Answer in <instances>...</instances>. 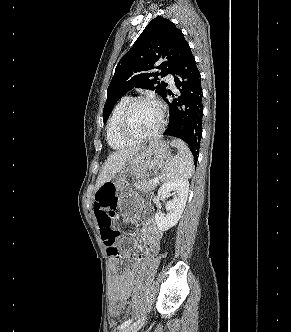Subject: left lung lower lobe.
<instances>
[{
    "instance_id": "0a47b994",
    "label": "left lung lower lobe",
    "mask_w": 291,
    "mask_h": 332,
    "mask_svg": "<svg viewBox=\"0 0 291 332\" xmlns=\"http://www.w3.org/2000/svg\"><path fill=\"white\" fill-rule=\"evenodd\" d=\"M173 74L179 92L172 94L167 90L162 96L170 107V121L163 135L182 139L190 147L196 143L200 145L203 117L201 75L189 45ZM168 95H173V100L169 101ZM191 152L197 162L199 150Z\"/></svg>"
}]
</instances>
